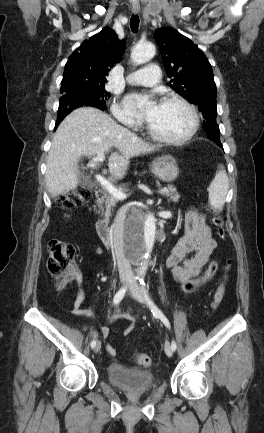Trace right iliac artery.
I'll use <instances>...</instances> for the list:
<instances>
[{
    "label": "right iliac artery",
    "instance_id": "right-iliac-artery-1",
    "mask_svg": "<svg viewBox=\"0 0 264 433\" xmlns=\"http://www.w3.org/2000/svg\"><path fill=\"white\" fill-rule=\"evenodd\" d=\"M126 290H127V286H125V287H122L117 293H116V295L114 296V299H113V304L114 305H117L122 299H123V297H124V295H125V293H126ZM96 345V340H92L91 341V344H90V346H91V348H94V346Z\"/></svg>",
    "mask_w": 264,
    "mask_h": 433
}]
</instances>
